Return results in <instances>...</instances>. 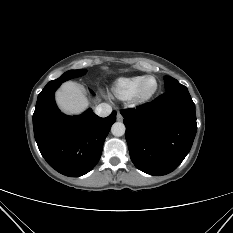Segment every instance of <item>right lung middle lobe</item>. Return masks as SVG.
<instances>
[{
  "mask_svg": "<svg viewBox=\"0 0 233 233\" xmlns=\"http://www.w3.org/2000/svg\"><path fill=\"white\" fill-rule=\"evenodd\" d=\"M87 72L86 69H80V70H69L67 72H65L64 74H62L58 79L56 80H52V81H66L72 78H76V77H80L82 75H84Z\"/></svg>",
  "mask_w": 233,
  "mask_h": 233,
  "instance_id": "dd1d6c3e",
  "label": "right lung middle lobe"
}]
</instances>
